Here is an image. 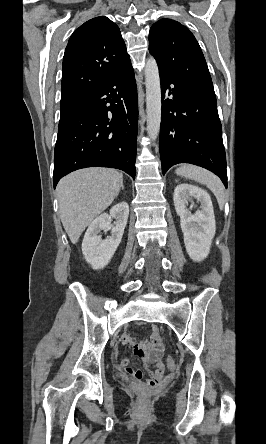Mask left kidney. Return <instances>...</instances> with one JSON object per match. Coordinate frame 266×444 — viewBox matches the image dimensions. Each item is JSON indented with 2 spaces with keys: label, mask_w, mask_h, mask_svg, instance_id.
Returning a JSON list of instances; mask_svg holds the SVG:
<instances>
[{
  "label": "left kidney",
  "mask_w": 266,
  "mask_h": 444,
  "mask_svg": "<svg viewBox=\"0 0 266 444\" xmlns=\"http://www.w3.org/2000/svg\"><path fill=\"white\" fill-rule=\"evenodd\" d=\"M193 199L201 204L195 214H191L187 208ZM173 200L176 213L180 216L186 251L193 261L200 262L208 256L216 231L210 195L200 187L179 184L174 190Z\"/></svg>",
  "instance_id": "left-kidney-1"
}]
</instances>
